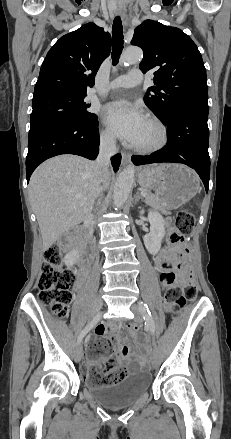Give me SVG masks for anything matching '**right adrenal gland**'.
<instances>
[{"instance_id": "right-adrenal-gland-1", "label": "right adrenal gland", "mask_w": 231, "mask_h": 439, "mask_svg": "<svg viewBox=\"0 0 231 439\" xmlns=\"http://www.w3.org/2000/svg\"><path fill=\"white\" fill-rule=\"evenodd\" d=\"M100 201V197L98 198V202Z\"/></svg>"}]
</instances>
